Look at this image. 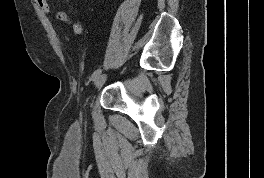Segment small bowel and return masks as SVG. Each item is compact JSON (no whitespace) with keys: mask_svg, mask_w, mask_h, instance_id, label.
Returning a JSON list of instances; mask_svg holds the SVG:
<instances>
[{"mask_svg":"<svg viewBox=\"0 0 264 178\" xmlns=\"http://www.w3.org/2000/svg\"><path fill=\"white\" fill-rule=\"evenodd\" d=\"M37 5L39 8L45 13H51L52 9L48 0H36ZM54 17L56 20L62 23H70L72 27V31L74 34L79 35L83 31V26L80 22H71L68 14L64 11H56L54 13Z\"/></svg>","mask_w":264,"mask_h":178,"instance_id":"1","label":"small bowel"}]
</instances>
